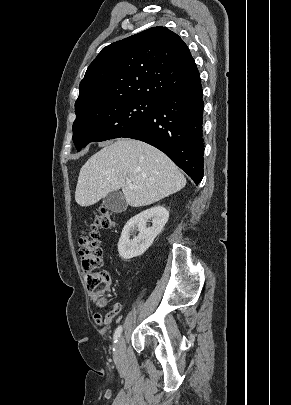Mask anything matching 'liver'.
Listing matches in <instances>:
<instances>
[{
	"label": "liver",
	"mask_w": 291,
	"mask_h": 405,
	"mask_svg": "<svg viewBox=\"0 0 291 405\" xmlns=\"http://www.w3.org/2000/svg\"><path fill=\"white\" fill-rule=\"evenodd\" d=\"M127 179L135 187H129ZM185 185L186 178L163 152L142 141L122 138L103 147L82 166L75 200L80 206H89L122 189L126 203L140 207Z\"/></svg>",
	"instance_id": "6515ba94"
}]
</instances>
